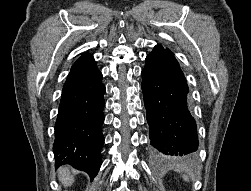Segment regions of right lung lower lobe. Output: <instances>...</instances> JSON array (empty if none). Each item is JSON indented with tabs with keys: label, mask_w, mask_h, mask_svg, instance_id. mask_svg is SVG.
Listing matches in <instances>:
<instances>
[{
	"label": "right lung lower lobe",
	"mask_w": 251,
	"mask_h": 191,
	"mask_svg": "<svg viewBox=\"0 0 251 191\" xmlns=\"http://www.w3.org/2000/svg\"><path fill=\"white\" fill-rule=\"evenodd\" d=\"M105 86L101 72L63 87L55 123L56 167L70 164L93 180L101 166Z\"/></svg>",
	"instance_id": "right-lung-lower-lobe-1"
}]
</instances>
